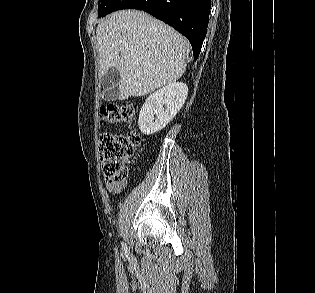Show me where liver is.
<instances>
[{"label": "liver", "mask_w": 315, "mask_h": 293, "mask_svg": "<svg viewBox=\"0 0 315 293\" xmlns=\"http://www.w3.org/2000/svg\"><path fill=\"white\" fill-rule=\"evenodd\" d=\"M96 34L100 75L111 67L120 73L119 100L147 95L185 72L188 40L144 12L117 11L98 24Z\"/></svg>", "instance_id": "liver-1"}]
</instances>
